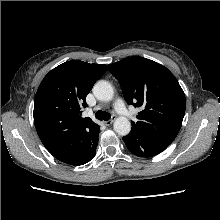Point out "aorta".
I'll return each instance as SVG.
<instances>
[{
    "label": "aorta",
    "mask_w": 220,
    "mask_h": 220,
    "mask_svg": "<svg viewBox=\"0 0 220 220\" xmlns=\"http://www.w3.org/2000/svg\"><path fill=\"white\" fill-rule=\"evenodd\" d=\"M93 94L100 101H111L114 90L108 81L100 80L94 85ZM113 127L117 134L126 136L131 130V123L126 117L120 116L114 121Z\"/></svg>",
    "instance_id": "1"
}]
</instances>
